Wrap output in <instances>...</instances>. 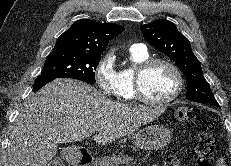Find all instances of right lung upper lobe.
<instances>
[{"label":"right lung upper lobe","instance_id":"cb5924a9","mask_svg":"<svg viewBox=\"0 0 231 166\" xmlns=\"http://www.w3.org/2000/svg\"><path fill=\"white\" fill-rule=\"evenodd\" d=\"M124 28L114 23H99L90 19H81L72 24L57 40L55 50L101 55L109 40L122 33Z\"/></svg>","mask_w":231,"mask_h":166}]
</instances>
